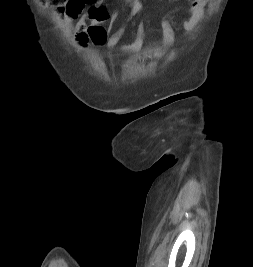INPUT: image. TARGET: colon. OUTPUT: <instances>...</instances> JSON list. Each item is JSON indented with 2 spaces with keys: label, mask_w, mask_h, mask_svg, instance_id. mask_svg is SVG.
<instances>
[{
  "label": "colon",
  "mask_w": 253,
  "mask_h": 267,
  "mask_svg": "<svg viewBox=\"0 0 253 267\" xmlns=\"http://www.w3.org/2000/svg\"><path fill=\"white\" fill-rule=\"evenodd\" d=\"M45 2L46 0H42ZM50 4L56 7L67 6L71 0H47ZM89 38L93 45L104 46L108 41V32L101 25L90 26L88 29Z\"/></svg>",
  "instance_id": "colon-1"
}]
</instances>
